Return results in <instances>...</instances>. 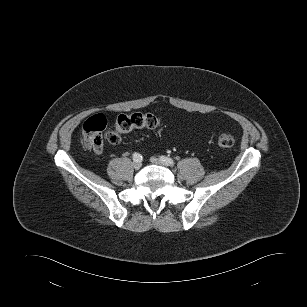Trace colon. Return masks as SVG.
I'll return each mask as SVG.
<instances>
[{
    "label": "colon",
    "mask_w": 307,
    "mask_h": 307,
    "mask_svg": "<svg viewBox=\"0 0 307 307\" xmlns=\"http://www.w3.org/2000/svg\"><path fill=\"white\" fill-rule=\"evenodd\" d=\"M106 118L101 115H93L82 126V135L85 145L94 151H101L106 140L115 145L121 141L122 136L133 129H154L160 124L157 116L152 113L120 114L117 116L114 127L105 131ZM218 146L223 149L231 148L234 137L228 133H220L217 139Z\"/></svg>",
    "instance_id": "obj_1"
}]
</instances>
